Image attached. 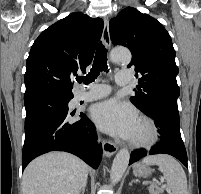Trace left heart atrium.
<instances>
[{
  "label": "left heart atrium",
  "instance_id": "left-heart-atrium-1",
  "mask_svg": "<svg viewBox=\"0 0 201 194\" xmlns=\"http://www.w3.org/2000/svg\"><path fill=\"white\" fill-rule=\"evenodd\" d=\"M91 117L104 132L125 139L133 138L138 123L133 107L117 99L94 105Z\"/></svg>",
  "mask_w": 201,
  "mask_h": 194
}]
</instances>
